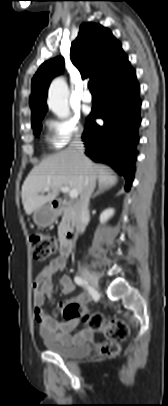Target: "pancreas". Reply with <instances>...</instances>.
<instances>
[{
	"instance_id": "cf45deb5",
	"label": "pancreas",
	"mask_w": 168,
	"mask_h": 406,
	"mask_svg": "<svg viewBox=\"0 0 168 406\" xmlns=\"http://www.w3.org/2000/svg\"><path fill=\"white\" fill-rule=\"evenodd\" d=\"M74 220V210L73 209H65L62 221L58 227V235L61 237L63 236L68 230L71 228V224H73Z\"/></svg>"
}]
</instances>
